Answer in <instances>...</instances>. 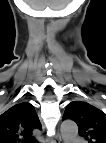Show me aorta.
<instances>
[{
  "mask_svg": "<svg viewBox=\"0 0 106 143\" xmlns=\"http://www.w3.org/2000/svg\"><path fill=\"white\" fill-rule=\"evenodd\" d=\"M78 135V127L74 121L65 120L61 124V137L64 143L73 142Z\"/></svg>",
  "mask_w": 106,
  "mask_h": 143,
  "instance_id": "aorta-1",
  "label": "aorta"
}]
</instances>
